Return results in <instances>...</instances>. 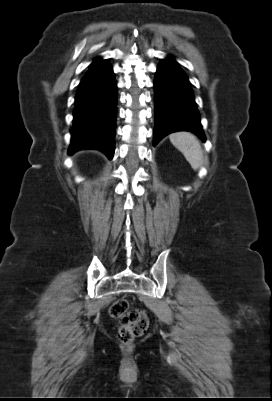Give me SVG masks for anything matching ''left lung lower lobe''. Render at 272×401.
Returning <instances> with one entry per match:
<instances>
[{
    "mask_svg": "<svg viewBox=\"0 0 272 401\" xmlns=\"http://www.w3.org/2000/svg\"><path fill=\"white\" fill-rule=\"evenodd\" d=\"M154 86L153 145L155 146L163 137L176 131L193 132L205 141L188 77L173 58L168 57L159 64Z\"/></svg>",
    "mask_w": 272,
    "mask_h": 401,
    "instance_id": "0a47b994",
    "label": "left lung lower lobe"
}]
</instances>
